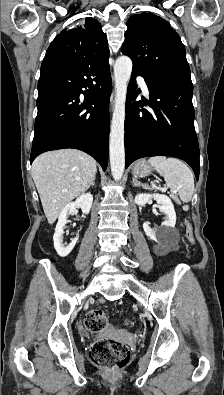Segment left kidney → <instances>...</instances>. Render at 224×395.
<instances>
[{"instance_id": "1", "label": "left kidney", "mask_w": 224, "mask_h": 395, "mask_svg": "<svg viewBox=\"0 0 224 395\" xmlns=\"http://www.w3.org/2000/svg\"><path fill=\"white\" fill-rule=\"evenodd\" d=\"M153 198L159 205V210L166 215V218L159 228L152 229L147 222H144L143 229L148 237L157 241L159 236L166 234L169 228H173L175 226L176 213L171 199L164 194L138 193L135 196V203L137 205L144 206Z\"/></svg>"}]
</instances>
